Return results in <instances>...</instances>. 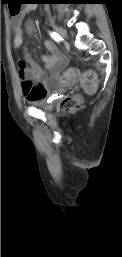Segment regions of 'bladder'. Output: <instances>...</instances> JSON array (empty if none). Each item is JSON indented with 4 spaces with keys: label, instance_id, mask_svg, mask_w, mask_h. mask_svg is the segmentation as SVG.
<instances>
[{
    "label": "bladder",
    "instance_id": "1",
    "mask_svg": "<svg viewBox=\"0 0 122 257\" xmlns=\"http://www.w3.org/2000/svg\"><path fill=\"white\" fill-rule=\"evenodd\" d=\"M30 103L40 109L47 110L49 108L48 102L45 98L39 100L30 101Z\"/></svg>",
    "mask_w": 122,
    "mask_h": 257
}]
</instances>
